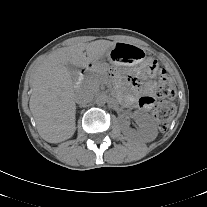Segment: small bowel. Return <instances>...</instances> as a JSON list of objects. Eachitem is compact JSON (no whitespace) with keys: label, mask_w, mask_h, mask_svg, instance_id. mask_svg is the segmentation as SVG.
<instances>
[{"label":"small bowel","mask_w":207,"mask_h":207,"mask_svg":"<svg viewBox=\"0 0 207 207\" xmlns=\"http://www.w3.org/2000/svg\"><path fill=\"white\" fill-rule=\"evenodd\" d=\"M152 71L149 67H144L141 74L146 75ZM127 80L133 93L123 96L124 103L128 106H138L143 110L150 109L154 104V84L152 82L141 84L133 75L128 76Z\"/></svg>","instance_id":"1"}]
</instances>
